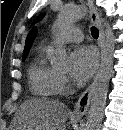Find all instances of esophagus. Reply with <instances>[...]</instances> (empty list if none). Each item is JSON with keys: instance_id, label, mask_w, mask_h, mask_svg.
Here are the masks:
<instances>
[{"instance_id": "1", "label": "esophagus", "mask_w": 123, "mask_h": 130, "mask_svg": "<svg viewBox=\"0 0 123 130\" xmlns=\"http://www.w3.org/2000/svg\"><path fill=\"white\" fill-rule=\"evenodd\" d=\"M87 5L89 6V9H90L91 20L99 30L98 44L101 49V55H102L103 49H104V32H103L102 23L99 18L97 9L93 3V0H87ZM94 86H95V79L79 97V99L75 105L74 111L72 113L73 118L81 119L82 117H84L87 114V111H88V108L90 105V101H91V98L93 95Z\"/></svg>"}]
</instances>
